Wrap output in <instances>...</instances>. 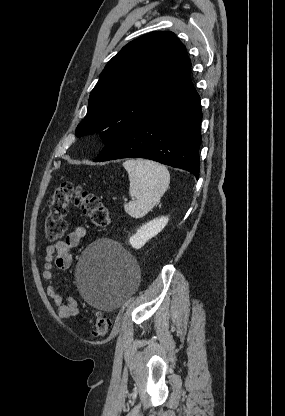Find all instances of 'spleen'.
Listing matches in <instances>:
<instances>
[{"mask_svg":"<svg viewBox=\"0 0 285 416\" xmlns=\"http://www.w3.org/2000/svg\"><path fill=\"white\" fill-rule=\"evenodd\" d=\"M129 178V194L136 198L125 204L124 210L131 218L146 216L165 194L170 184V174L161 164L150 160H126L123 164Z\"/></svg>","mask_w":285,"mask_h":416,"instance_id":"3e777b00","label":"spleen"}]
</instances>
